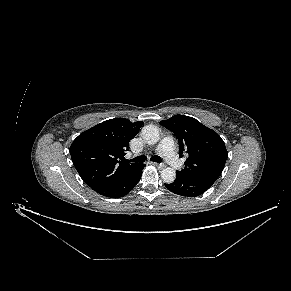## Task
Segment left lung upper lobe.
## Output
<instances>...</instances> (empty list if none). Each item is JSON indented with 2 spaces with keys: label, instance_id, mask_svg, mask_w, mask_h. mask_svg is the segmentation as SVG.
<instances>
[{
  "label": "left lung upper lobe",
  "instance_id": "obj_1",
  "mask_svg": "<svg viewBox=\"0 0 291 291\" xmlns=\"http://www.w3.org/2000/svg\"><path fill=\"white\" fill-rule=\"evenodd\" d=\"M179 141V155H188L185 167L178 173L189 178H218L228 158L224 141L212 129L192 117L174 115L160 122Z\"/></svg>",
  "mask_w": 291,
  "mask_h": 291
}]
</instances>
